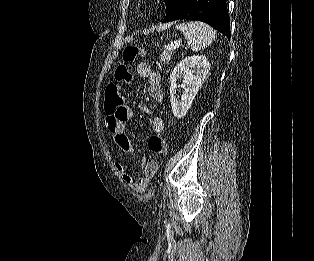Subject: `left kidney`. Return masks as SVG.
I'll list each match as a JSON object with an SVG mask.
<instances>
[{"label":"left kidney","instance_id":"1","mask_svg":"<svg viewBox=\"0 0 314 261\" xmlns=\"http://www.w3.org/2000/svg\"><path fill=\"white\" fill-rule=\"evenodd\" d=\"M210 63L203 55H194L186 57L176 65L171 73V106L175 117L182 118L192 105V102L201 88L206 76L210 71ZM183 78L184 84L181 86L184 93L181 100L175 97L177 89V79Z\"/></svg>","mask_w":314,"mask_h":261}]
</instances>
